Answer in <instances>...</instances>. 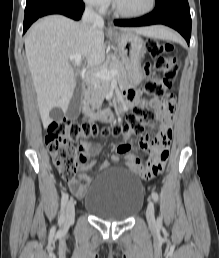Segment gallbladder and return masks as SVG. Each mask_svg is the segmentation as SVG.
<instances>
[{
    "mask_svg": "<svg viewBox=\"0 0 219 258\" xmlns=\"http://www.w3.org/2000/svg\"><path fill=\"white\" fill-rule=\"evenodd\" d=\"M82 93V82L80 80H77L73 96L66 111V116L68 119L75 120L79 117L81 113Z\"/></svg>",
    "mask_w": 219,
    "mask_h": 258,
    "instance_id": "1",
    "label": "gallbladder"
}]
</instances>
